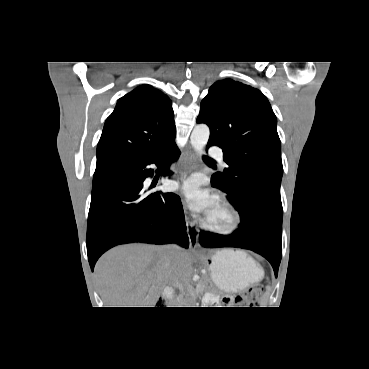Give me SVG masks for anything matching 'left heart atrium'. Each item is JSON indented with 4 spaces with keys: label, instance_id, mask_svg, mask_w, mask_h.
<instances>
[{
    "label": "left heart atrium",
    "instance_id": "39dd6f15",
    "mask_svg": "<svg viewBox=\"0 0 369 369\" xmlns=\"http://www.w3.org/2000/svg\"><path fill=\"white\" fill-rule=\"evenodd\" d=\"M181 191L189 205L196 211L207 213L215 205V197L202 190L196 178L187 180L181 185Z\"/></svg>",
    "mask_w": 369,
    "mask_h": 369
}]
</instances>
